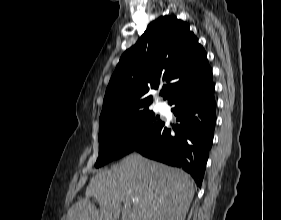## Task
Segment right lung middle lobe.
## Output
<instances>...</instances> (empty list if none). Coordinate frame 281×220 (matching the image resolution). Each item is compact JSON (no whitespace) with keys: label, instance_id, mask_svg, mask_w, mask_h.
<instances>
[{"label":"right lung middle lobe","instance_id":"dd1d6c3e","mask_svg":"<svg viewBox=\"0 0 281 220\" xmlns=\"http://www.w3.org/2000/svg\"><path fill=\"white\" fill-rule=\"evenodd\" d=\"M148 108L107 122L99 130V157L95 167L133 152L163 125Z\"/></svg>","mask_w":281,"mask_h":220}]
</instances>
